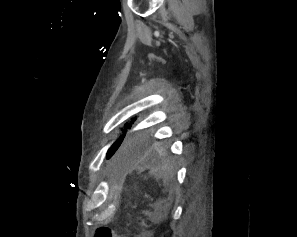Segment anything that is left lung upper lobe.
<instances>
[{"label":"left lung upper lobe","mask_w":297,"mask_h":237,"mask_svg":"<svg viewBox=\"0 0 297 237\" xmlns=\"http://www.w3.org/2000/svg\"><path fill=\"white\" fill-rule=\"evenodd\" d=\"M126 126L130 128L131 125L128 124ZM148 149V143L140 136L127 139L126 141H124V136H121L109 148L106 158L110 159L114 154L124 158L138 157L148 151Z\"/></svg>","instance_id":"1"}]
</instances>
